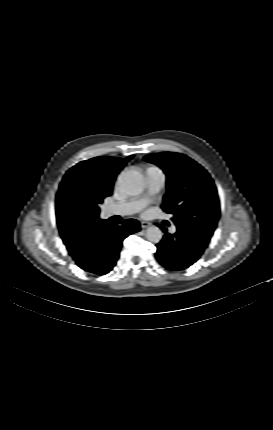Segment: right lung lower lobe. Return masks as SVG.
Masks as SVG:
<instances>
[{
	"label": "right lung lower lobe",
	"mask_w": 273,
	"mask_h": 430,
	"mask_svg": "<svg viewBox=\"0 0 273 430\" xmlns=\"http://www.w3.org/2000/svg\"><path fill=\"white\" fill-rule=\"evenodd\" d=\"M139 230L140 225L134 219L117 226L98 218L86 227L83 244L70 254L83 270L104 275L115 266L123 240Z\"/></svg>",
	"instance_id": "98d812e1"
}]
</instances>
